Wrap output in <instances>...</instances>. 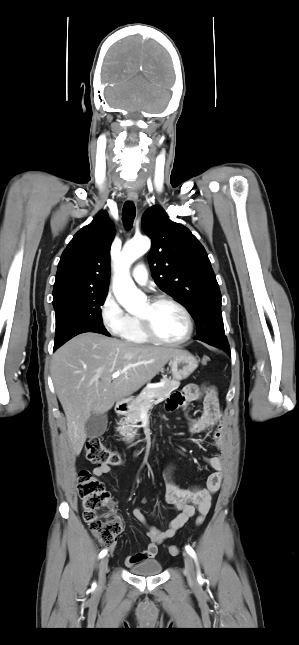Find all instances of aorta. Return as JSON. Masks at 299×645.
<instances>
[{
  "mask_svg": "<svg viewBox=\"0 0 299 645\" xmlns=\"http://www.w3.org/2000/svg\"><path fill=\"white\" fill-rule=\"evenodd\" d=\"M150 248L146 237L133 239L125 244L120 260V269L114 283V294L118 302L130 313L141 309L145 295L136 288L129 275L130 265Z\"/></svg>",
  "mask_w": 299,
  "mask_h": 645,
  "instance_id": "762f6f07",
  "label": "aorta"
}]
</instances>
